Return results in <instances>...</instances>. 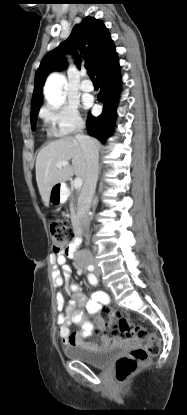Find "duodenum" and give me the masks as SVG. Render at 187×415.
I'll return each mask as SVG.
<instances>
[{
    "label": "duodenum",
    "instance_id": "410a0bca",
    "mask_svg": "<svg viewBox=\"0 0 187 415\" xmlns=\"http://www.w3.org/2000/svg\"><path fill=\"white\" fill-rule=\"evenodd\" d=\"M62 192H65V188H62ZM75 230H76L77 237H76V240H75L74 244L72 245V247H71V249L69 251V254L70 255H73L74 254L75 250L78 248V246L80 244V241H81V229H80V226L79 225H76Z\"/></svg>",
    "mask_w": 187,
    "mask_h": 415
}]
</instances>
